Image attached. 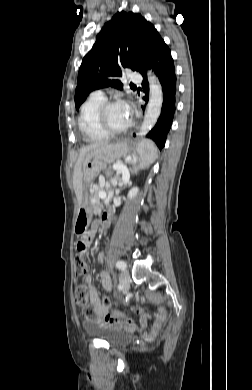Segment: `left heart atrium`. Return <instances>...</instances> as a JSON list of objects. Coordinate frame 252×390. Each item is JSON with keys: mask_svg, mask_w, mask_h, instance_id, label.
<instances>
[{"mask_svg": "<svg viewBox=\"0 0 252 390\" xmlns=\"http://www.w3.org/2000/svg\"><path fill=\"white\" fill-rule=\"evenodd\" d=\"M122 104H124V106H125V108H126V110H127V113L129 114V116H130V118H131V116H132L131 108H130L127 104H125V103H122Z\"/></svg>", "mask_w": 252, "mask_h": 390, "instance_id": "39dd6f15", "label": "left heart atrium"}]
</instances>
